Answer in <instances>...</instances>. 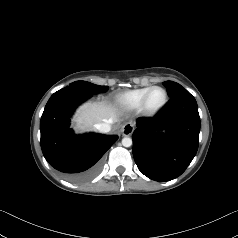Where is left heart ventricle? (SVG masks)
Wrapping results in <instances>:
<instances>
[{
  "label": "left heart ventricle",
  "instance_id": "b2bd125f",
  "mask_svg": "<svg viewBox=\"0 0 238 238\" xmlns=\"http://www.w3.org/2000/svg\"><path fill=\"white\" fill-rule=\"evenodd\" d=\"M164 101V93L162 90H154L148 100V105L150 108H156L160 106Z\"/></svg>",
  "mask_w": 238,
  "mask_h": 238
}]
</instances>
